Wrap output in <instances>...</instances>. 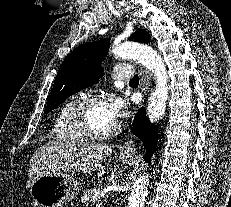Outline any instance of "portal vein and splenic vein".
<instances>
[{
  "mask_svg": "<svg viewBox=\"0 0 231 207\" xmlns=\"http://www.w3.org/2000/svg\"><path fill=\"white\" fill-rule=\"evenodd\" d=\"M96 207H103V204L99 202L96 204Z\"/></svg>",
  "mask_w": 231,
  "mask_h": 207,
  "instance_id": "18ae733b",
  "label": "portal vein and splenic vein"
}]
</instances>
